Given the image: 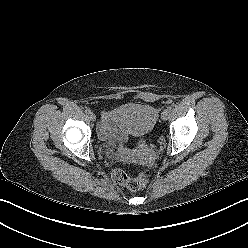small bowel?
<instances>
[{"label": "small bowel", "mask_w": 248, "mask_h": 248, "mask_svg": "<svg viewBox=\"0 0 248 248\" xmlns=\"http://www.w3.org/2000/svg\"><path fill=\"white\" fill-rule=\"evenodd\" d=\"M99 134L104 141L110 144L125 142L129 135V133L119 125L115 111L103 113L99 125Z\"/></svg>", "instance_id": "1"}]
</instances>
